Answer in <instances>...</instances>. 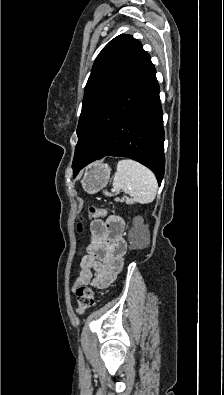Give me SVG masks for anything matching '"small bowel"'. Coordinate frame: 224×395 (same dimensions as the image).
Masks as SVG:
<instances>
[{
	"label": "small bowel",
	"instance_id": "c3829d8e",
	"mask_svg": "<svg viewBox=\"0 0 224 395\" xmlns=\"http://www.w3.org/2000/svg\"><path fill=\"white\" fill-rule=\"evenodd\" d=\"M123 229L124 221L117 216L91 222L87 254L80 261L74 288L83 284L104 288L115 280L123 268V256L127 251Z\"/></svg>",
	"mask_w": 224,
	"mask_h": 395
}]
</instances>
